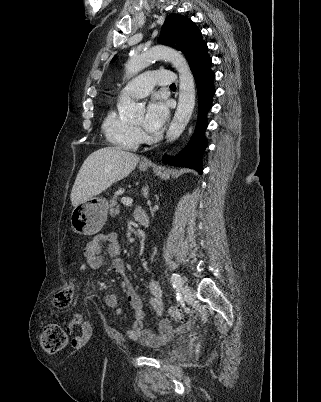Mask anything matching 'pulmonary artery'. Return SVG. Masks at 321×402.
Listing matches in <instances>:
<instances>
[{
  "instance_id": "pulmonary-artery-1",
  "label": "pulmonary artery",
  "mask_w": 321,
  "mask_h": 402,
  "mask_svg": "<svg viewBox=\"0 0 321 402\" xmlns=\"http://www.w3.org/2000/svg\"><path fill=\"white\" fill-rule=\"evenodd\" d=\"M176 81V75L170 70L149 71L129 82L120 94L122 97L141 98L148 95L154 86H168Z\"/></svg>"
}]
</instances>
